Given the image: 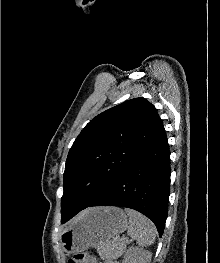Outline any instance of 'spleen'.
Listing matches in <instances>:
<instances>
[{
  "label": "spleen",
  "instance_id": "3e777b00",
  "mask_svg": "<svg viewBox=\"0 0 220 263\" xmlns=\"http://www.w3.org/2000/svg\"><path fill=\"white\" fill-rule=\"evenodd\" d=\"M129 216L128 235L137 241L141 247H147L154 243L156 228L154 224L139 212L126 208Z\"/></svg>",
  "mask_w": 220,
  "mask_h": 263
}]
</instances>
